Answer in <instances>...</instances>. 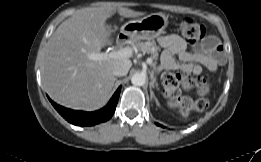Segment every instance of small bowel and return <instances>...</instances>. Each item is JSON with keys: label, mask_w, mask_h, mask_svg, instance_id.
<instances>
[{"label": "small bowel", "mask_w": 261, "mask_h": 162, "mask_svg": "<svg viewBox=\"0 0 261 162\" xmlns=\"http://www.w3.org/2000/svg\"><path fill=\"white\" fill-rule=\"evenodd\" d=\"M158 41L164 48L161 55L164 70H181L199 75L203 68L215 71L226 60L222 45L213 36L207 37L192 52L186 50L185 41L178 35H164Z\"/></svg>", "instance_id": "small-bowel-1"}]
</instances>
